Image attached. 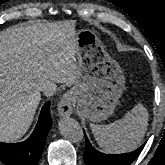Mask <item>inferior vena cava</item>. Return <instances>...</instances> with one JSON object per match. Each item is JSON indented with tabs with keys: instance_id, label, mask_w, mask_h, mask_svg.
<instances>
[{
	"instance_id": "602c4592",
	"label": "inferior vena cava",
	"mask_w": 165,
	"mask_h": 165,
	"mask_svg": "<svg viewBox=\"0 0 165 165\" xmlns=\"http://www.w3.org/2000/svg\"><path fill=\"white\" fill-rule=\"evenodd\" d=\"M56 84L51 81H46L43 83L41 91L46 95V96H52L56 92Z\"/></svg>"
}]
</instances>
